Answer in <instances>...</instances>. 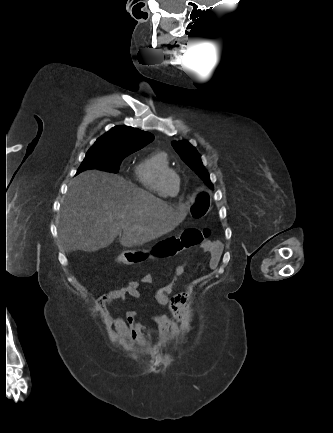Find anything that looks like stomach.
I'll return each instance as SVG.
<instances>
[{
  "label": "stomach",
  "instance_id": "stomach-1",
  "mask_svg": "<svg viewBox=\"0 0 333 433\" xmlns=\"http://www.w3.org/2000/svg\"><path fill=\"white\" fill-rule=\"evenodd\" d=\"M210 203V194L203 189H199L192 206V218L199 219L205 216L211 209Z\"/></svg>",
  "mask_w": 333,
  "mask_h": 433
}]
</instances>
